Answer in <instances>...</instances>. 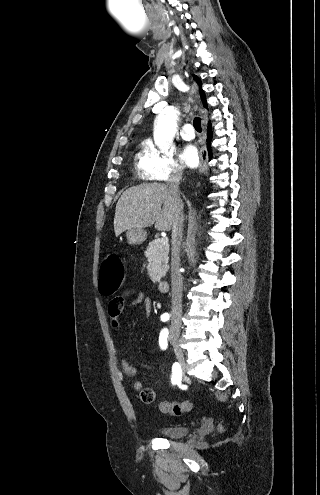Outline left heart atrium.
<instances>
[{
  "label": "left heart atrium",
  "instance_id": "1",
  "mask_svg": "<svg viewBox=\"0 0 320 495\" xmlns=\"http://www.w3.org/2000/svg\"><path fill=\"white\" fill-rule=\"evenodd\" d=\"M180 158L188 167H195L199 160L197 148L193 145L183 147L180 153Z\"/></svg>",
  "mask_w": 320,
  "mask_h": 495
}]
</instances>
